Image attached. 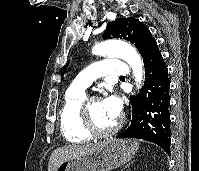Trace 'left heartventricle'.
I'll list each match as a JSON object with an SVG mask.
<instances>
[{"instance_id": "1", "label": "left heart ventricle", "mask_w": 199, "mask_h": 171, "mask_svg": "<svg viewBox=\"0 0 199 171\" xmlns=\"http://www.w3.org/2000/svg\"><path fill=\"white\" fill-rule=\"evenodd\" d=\"M90 110L96 124L100 128H108L114 125L118 120L110 117L104 110L102 100L97 99L90 102Z\"/></svg>"}]
</instances>
